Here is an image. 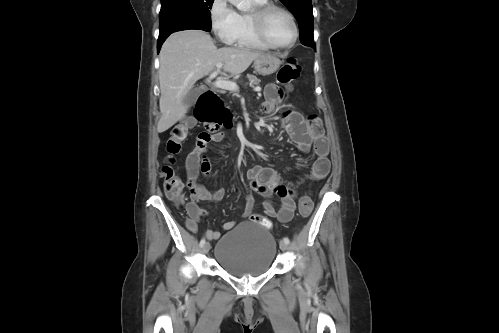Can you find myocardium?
I'll return each mask as SVG.
<instances>
[{
    "mask_svg": "<svg viewBox=\"0 0 499 333\" xmlns=\"http://www.w3.org/2000/svg\"><path fill=\"white\" fill-rule=\"evenodd\" d=\"M275 10L281 11L284 14H286L288 16V18L290 19L292 27H293V37H292L290 42H288L287 44H284V45H278V44L273 43L269 39V37L266 33V29H265L266 19H267L268 15L272 11H275ZM249 16H250V20H251V23H252V26L254 28L255 33L257 34L259 39L263 43H265L268 47L273 48V49L283 50V49L291 48L296 43L298 36H299L298 25H297V22H296V19H295L293 13L290 10H288L287 8H285L281 5L275 4V3H266L264 5L256 6L254 8V10L249 14Z\"/></svg>",
    "mask_w": 499,
    "mask_h": 333,
    "instance_id": "f54148a6",
    "label": "myocardium"
}]
</instances>
